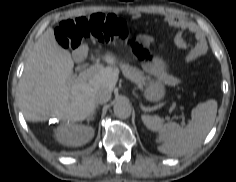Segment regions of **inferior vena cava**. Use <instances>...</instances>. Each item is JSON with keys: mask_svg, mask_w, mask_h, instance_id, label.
<instances>
[{"mask_svg": "<svg viewBox=\"0 0 236 182\" xmlns=\"http://www.w3.org/2000/svg\"><path fill=\"white\" fill-rule=\"evenodd\" d=\"M111 91L107 88H100L96 91L94 99L95 103H105L111 99Z\"/></svg>", "mask_w": 236, "mask_h": 182, "instance_id": "1", "label": "inferior vena cava"}]
</instances>
